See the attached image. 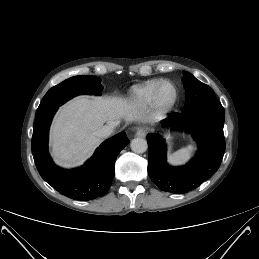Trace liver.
Here are the masks:
<instances>
[{
	"label": "liver",
	"mask_w": 259,
	"mask_h": 259,
	"mask_svg": "<svg viewBox=\"0 0 259 259\" xmlns=\"http://www.w3.org/2000/svg\"><path fill=\"white\" fill-rule=\"evenodd\" d=\"M160 117V113H154L147 119L136 103L123 98L76 97L62 106L54 118L50 131L52 156L63 167L81 165L101 143L94 132L105 123L119 124L121 119L154 122Z\"/></svg>",
	"instance_id": "6515ba94"
}]
</instances>
